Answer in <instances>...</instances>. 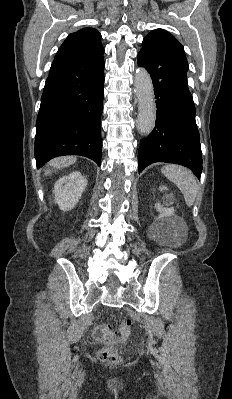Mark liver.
Wrapping results in <instances>:
<instances>
[{"mask_svg": "<svg viewBox=\"0 0 232 399\" xmlns=\"http://www.w3.org/2000/svg\"><path fill=\"white\" fill-rule=\"evenodd\" d=\"M76 158L74 156H63V158H55V160H51L48 162L51 168H56V170H62V168H68V166H72L75 164ZM52 170H46L45 176H51Z\"/></svg>", "mask_w": 232, "mask_h": 399, "instance_id": "liver-1", "label": "liver"}]
</instances>
